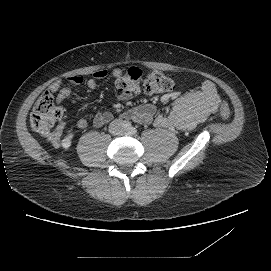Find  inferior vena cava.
Returning <instances> with one entry per match:
<instances>
[{
	"instance_id": "1",
	"label": "inferior vena cava",
	"mask_w": 271,
	"mask_h": 271,
	"mask_svg": "<svg viewBox=\"0 0 271 271\" xmlns=\"http://www.w3.org/2000/svg\"><path fill=\"white\" fill-rule=\"evenodd\" d=\"M109 130L112 134L114 135H119L123 132L124 130V125L121 121L119 120H114L110 123L109 125Z\"/></svg>"
}]
</instances>
